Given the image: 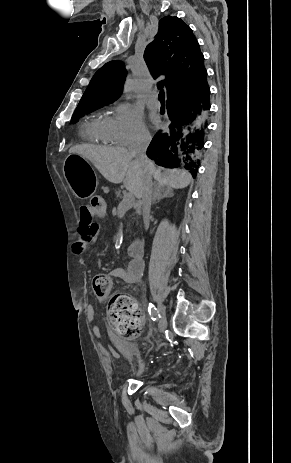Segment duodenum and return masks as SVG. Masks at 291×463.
I'll use <instances>...</instances> for the list:
<instances>
[{
	"mask_svg": "<svg viewBox=\"0 0 291 463\" xmlns=\"http://www.w3.org/2000/svg\"><path fill=\"white\" fill-rule=\"evenodd\" d=\"M128 251L135 258L141 257L144 252L143 239L135 238L130 244Z\"/></svg>",
	"mask_w": 291,
	"mask_h": 463,
	"instance_id": "obj_1",
	"label": "duodenum"
}]
</instances>
